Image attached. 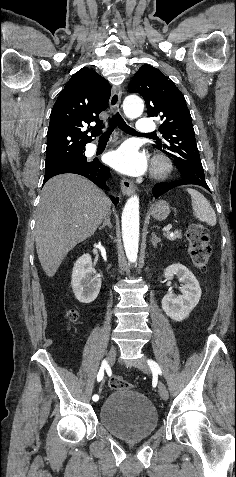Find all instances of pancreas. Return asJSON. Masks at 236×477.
<instances>
[{
    "label": "pancreas",
    "instance_id": "pancreas-1",
    "mask_svg": "<svg viewBox=\"0 0 236 477\" xmlns=\"http://www.w3.org/2000/svg\"><path fill=\"white\" fill-rule=\"evenodd\" d=\"M165 237L170 241H175L176 239L182 238V233L181 231H175L173 234L166 233Z\"/></svg>",
    "mask_w": 236,
    "mask_h": 477
}]
</instances>
